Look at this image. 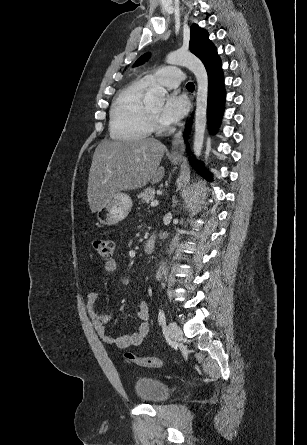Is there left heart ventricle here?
<instances>
[{
    "instance_id": "b2bd125f",
    "label": "left heart ventricle",
    "mask_w": 307,
    "mask_h": 445,
    "mask_svg": "<svg viewBox=\"0 0 307 445\" xmlns=\"http://www.w3.org/2000/svg\"><path fill=\"white\" fill-rule=\"evenodd\" d=\"M162 104L163 100L158 99L155 100L149 107L154 114H156L157 116H161Z\"/></svg>"
}]
</instances>
